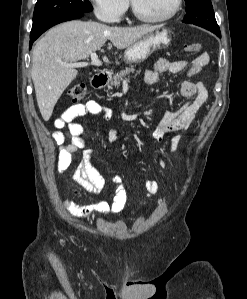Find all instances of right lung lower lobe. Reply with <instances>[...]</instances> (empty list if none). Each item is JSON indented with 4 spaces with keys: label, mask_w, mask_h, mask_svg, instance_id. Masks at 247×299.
<instances>
[{
    "label": "right lung lower lobe",
    "mask_w": 247,
    "mask_h": 299,
    "mask_svg": "<svg viewBox=\"0 0 247 299\" xmlns=\"http://www.w3.org/2000/svg\"><path fill=\"white\" fill-rule=\"evenodd\" d=\"M84 15V13H73V14H70V15H67L63 18H60L52 23H50L49 25H47L46 27H44L43 29H41L38 33L34 34V35H30V48L33 44V42L43 33L45 32L47 29H49L50 27L58 24V23H61V22H64V21H68V20H72V19H77V18H80Z\"/></svg>",
    "instance_id": "98d812e1"
}]
</instances>
